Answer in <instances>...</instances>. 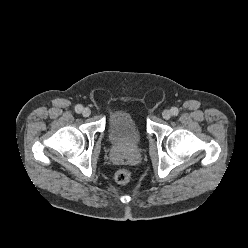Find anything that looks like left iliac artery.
Wrapping results in <instances>:
<instances>
[{
	"label": "left iliac artery",
	"mask_w": 248,
	"mask_h": 248,
	"mask_svg": "<svg viewBox=\"0 0 248 248\" xmlns=\"http://www.w3.org/2000/svg\"><path fill=\"white\" fill-rule=\"evenodd\" d=\"M171 113H172V115L177 116V115H178V113H179L178 108L173 107V108L171 109Z\"/></svg>",
	"instance_id": "1"
}]
</instances>
